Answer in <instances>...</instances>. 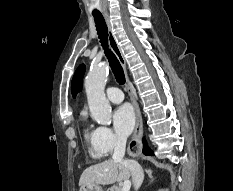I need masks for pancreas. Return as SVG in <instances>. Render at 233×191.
<instances>
[{
	"mask_svg": "<svg viewBox=\"0 0 233 191\" xmlns=\"http://www.w3.org/2000/svg\"><path fill=\"white\" fill-rule=\"evenodd\" d=\"M107 191H122V187L113 186V187L109 188Z\"/></svg>",
	"mask_w": 233,
	"mask_h": 191,
	"instance_id": "pancreas-1",
	"label": "pancreas"
}]
</instances>
